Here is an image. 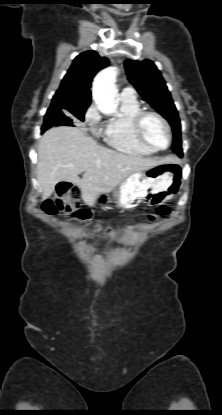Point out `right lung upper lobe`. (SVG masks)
I'll use <instances>...</instances> for the list:
<instances>
[{"label": "right lung upper lobe", "mask_w": 222, "mask_h": 415, "mask_svg": "<svg viewBox=\"0 0 222 415\" xmlns=\"http://www.w3.org/2000/svg\"><path fill=\"white\" fill-rule=\"evenodd\" d=\"M107 58L95 51H85L78 55L63 78L55 93L51 106L91 103V82L96 73L107 67Z\"/></svg>", "instance_id": "right-lung-upper-lobe-1"}]
</instances>
